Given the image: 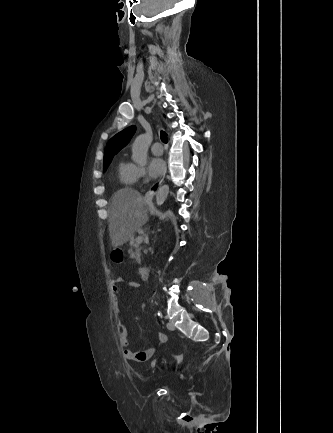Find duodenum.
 <instances>
[{"instance_id": "duodenum-1", "label": "duodenum", "mask_w": 333, "mask_h": 433, "mask_svg": "<svg viewBox=\"0 0 333 433\" xmlns=\"http://www.w3.org/2000/svg\"><path fill=\"white\" fill-rule=\"evenodd\" d=\"M135 237H130L129 246H134ZM139 274L142 280H148L150 277V269L148 267H141Z\"/></svg>"}]
</instances>
